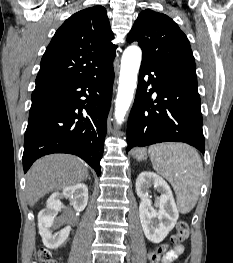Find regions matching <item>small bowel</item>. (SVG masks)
Returning <instances> with one entry per match:
<instances>
[{
    "instance_id": "1",
    "label": "small bowel",
    "mask_w": 233,
    "mask_h": 263,
    "mask_svg": "<svg viewBox=\"0 0 233 263\" xmlns=\"http://www.w3.org/2000/svg\"><path fill=\"white\" fill-rule=\"evenodd\" d=\"M184 252L183 246H176L169 250L163 257L162 263H172L182 256Z\"/></svg>"
}]
</instances>
